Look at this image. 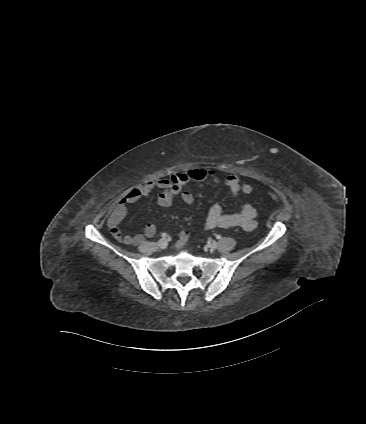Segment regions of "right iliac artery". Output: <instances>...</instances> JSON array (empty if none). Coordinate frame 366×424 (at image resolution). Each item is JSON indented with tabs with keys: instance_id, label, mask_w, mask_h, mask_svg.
I'll list each match as a JSON object with an SVG mask.
<instances>
[{
	"instance_id": "obj_1",
	"label": "right iliac artery",
	"mask_w": 366,
	"mask_h": 424,
	"mask_svg": "<svg viewBox=\"0 0 366 424\" xmlns=\"http://www.w3.org/2000/svg\"><path fill=\"white\" fill-rule=\"evenodd\" d=\"M167 236H168V235H167L166 233H163V234H162V237H163V238H165V237H167Z\"/></svg>"
}]
</instances>
